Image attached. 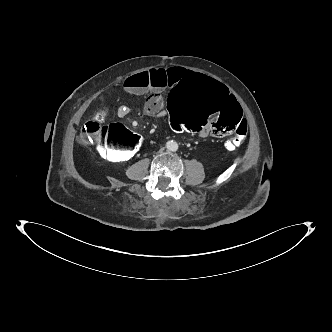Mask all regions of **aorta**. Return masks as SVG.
Here are the masks:
<instances>
[{"mask_svg":"<svg viewBox=\"0 0 332 332\" xmlns=\"http://www.w3.org/2000/svg\"><path fill=\"white\" fill-rule=\"evenodd\" d=\"M167 149L170 151H177L178 149V144L177 142L171 140L167 142Z\"/></svg>","mask_w":332,"mask_h":332,"instance_id":"762f6f07","label":"aorta"}]
</instances>
